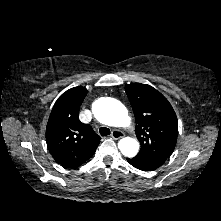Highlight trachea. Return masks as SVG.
<instances>
[{"label":"trachea","instance_id":"trachea-1","mask_svg":"<svg viewBox=\"0 0 221 221\" xmlns=\"http://www.w3.org/2000/svg\"><path fill=\"white\" fill-rule=\"evenodd\" d=\"M99 133L101 136H108V135H110V130L106 127H101L99 129Z\"/></svg>","mask_w":221,"mask_h":221}]
</instances>
